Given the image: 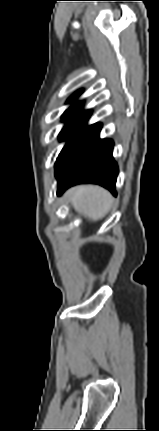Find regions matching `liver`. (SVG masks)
I'll list each match as a JSON object with an SVG mask.
<instances>
[{
    "label": "liver",
    "instance_id": "1",
    "mask_svg": "<svg viewBox=\"0 0 159 431\" xmlns=\"http://www.w3.org/2000/svg\"><path fill=\"white\" fill-rule=\"evenodd\" d=\"M66 197L77 212L92 221L105 217L113 203L111 194L96 185H81L71 188L67 191Z\"/></svg>",
    "mask_w": 159,
    "mask_h": 431
}]
</instances>
